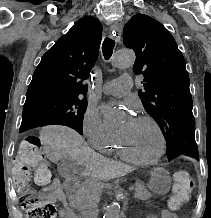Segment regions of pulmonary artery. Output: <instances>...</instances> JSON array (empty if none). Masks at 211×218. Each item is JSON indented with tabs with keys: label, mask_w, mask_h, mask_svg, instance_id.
Segmentation results:
<instances>
[{
	"label": "pulmonary artery",
	"mask_w": 211,
	"mask_h": 218,
	"mask_svg": "<svg viewBox=\"0 0 211 218\" xmlns=\"http://www.w3.org/2000/svg\"><path fill=\"white\" fill-rule=\"evenodd\" d=\"M131 79L128 75H122L118 79L107 82L103 86V91L108 94L121 96L131 90V87L135 86L134 80H122Z\"/></svg>",
	"instance_id": "obj_1"
}]
</instances>
